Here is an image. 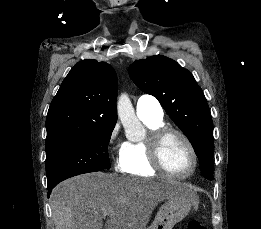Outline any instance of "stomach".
I'll return each instance as SVG.
<instances>
[{"mask_svg": "<svg viewBox=\"0 0 261 229\" xmlns=\"http://www.w3.org/2000/svg\"><path fill=\"white\" fill-rule=\"evenodd\" d=\"M175 189H181L182 195H174L169 197L167 203L159 209L151 227L149 229H173L176 223H180L182 219L190 213L194 203L198 197L189 183H171Z\"/></svg>", "mask_w": 261, "mask_h": 229, "instance_id": "obj_1", "label": "stomach"}]
</instances>
